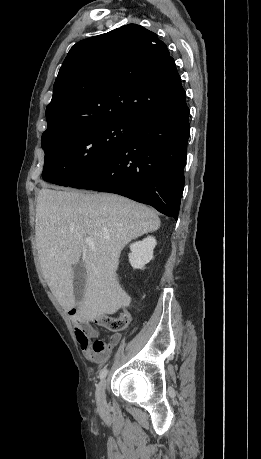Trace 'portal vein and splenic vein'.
I'll list each match as a JSON object with an SVG mask.
<instances>
[{
	"label": "portal vein and splenic vein",
	"mask_w": 261,
	"mask_h": 459,
	"mask_svg": "<svg viewBox=\"0 0 261 459\" xmlns=\"http://www.w3.org/2000/svg\"><path fill=\"white\" fill-rule=\"evenodd\" d=\"M85 243H86L87 245H89V246H93L94 240H93V238H91V237H87V238H85Z\"/></svg>",
	"instance_id": "portal-vein-and-splenic-vein-1"
}]
</instances>
